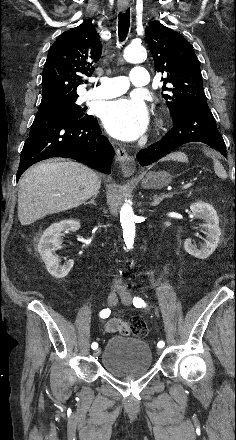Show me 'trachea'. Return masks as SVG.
<instances>
[{"label": "trachea", "mask_w": 236, "mask_h": 440, "mask_svg": "<svg viewBox=\"0 0 236 440\" xmlns=\"http://www.w3.org/2000/svg\"><path fill=\"white\" fill-rule=\"evenodd\" d=\"M130 27V11L127 10L125 13L119 14L118 22V34L120 41H124L127 37Z\"/></svg>", "instance_id": "1"}]
</instances>
